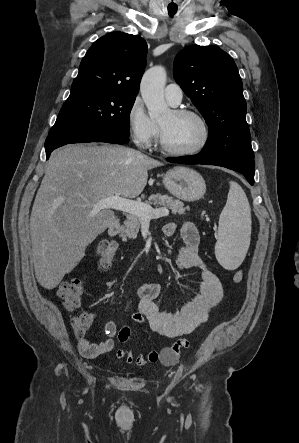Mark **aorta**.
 I'll return each instance as SVG.
<instances>
[{"label":"aorta","instance_id":"obj_1","mask_svg":"<svg viewBox=\"0 0 299 443\" xmlns=\"http://www.w3.org/2000/svg\"><path fill=\"white\" fill-rule=\"evenodd\" d=\"M166 71L162 66L148 69L141 80L140 91L151 119H162L170 114L164 99Z\"/></svg>","mask_w":299,"mask_h":443}]
</instances>
